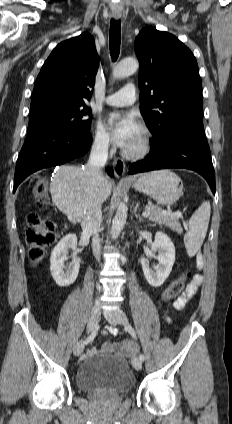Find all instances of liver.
I'll return each mask as SVG.
<instances>
[{"label": "liver", "instance_id": "6515ba94", "mask_svg": "<svg viewBox=\"0 0 232 424\" xmlns=\"http://www.w3.org/2000/svg\"><path fill=\"white\" fill-rule=\"evenodd\" d=\"M91 186L85 168L61 165L50 184L52 201L70 221L81 222L90 208ZM111 191L112 182L105 178L101 187L102 202L108 199Z\"/></svg>", "mask_w": 232, "mask_h": 424}]
</instances>
